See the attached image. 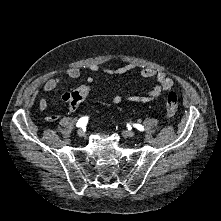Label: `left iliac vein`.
Instances as JSON below:
<instances>
[{
    "label": "left iliac vein",
    "instance_id": "4c4485c4",
    "mask_svg": "<svg viewBox=\"0 0 221 221\" xmlns=\"http://www.w3.org/2000/svg\"><path fill=\"white\" fill-rule=\"evenodd\" d=\"M124 134L128 137H131V138L135 136V133L133 131H130V130H125Z\"/></svg>",
    "mask_w": 221,
    "mask_h": 221
}]
</instances>
